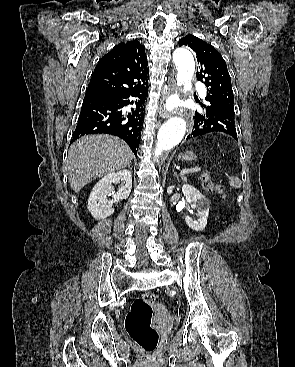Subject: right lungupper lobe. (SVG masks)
<instances>
[{
	"mask_svg": "<svg viewBox=\"0 0 295 367\" xmlns=\"http://www.w3.org/2000/svg\"><path fill=\"white\" fill-rule=\"evenodd\" d=\"M145 48L136 40L119 43L98 62L87 90L122 93L148 87Z\"/></svg>",
	"mask_w": 295,
	"mask_h": 367,
	"instance_id": "obj_1",
	"label": "right lung upper lobe"
}]
</instances>
